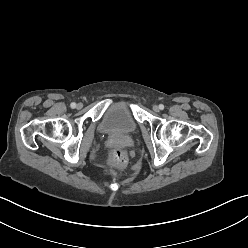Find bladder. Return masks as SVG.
I'll list each match as a JSON object with an SVG mask.
<instances>
[{
	"label": "bladder",
	"mask_w": 248,
	"mask_h": 248,
	"mask_svg": "<svg viewBox=\"0 0 248 248\" xmlns=\"http://www.w3.org/2000/svg\"><path fill=\"white\" fill-rule=\"evenodd\" d=\"M138 128L132 105L125 100L107 105L98 123V131L104 135H131Z\"/></svg>",
	"instance_id": "1"
}]
</instances>
